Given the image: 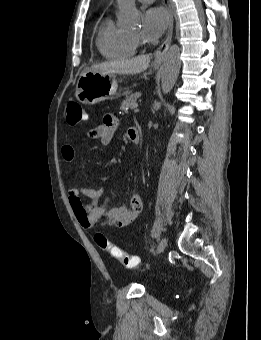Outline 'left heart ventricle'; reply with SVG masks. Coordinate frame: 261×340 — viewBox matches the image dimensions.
I'll use <instances>...</instances> for the list:
<instances>
[{
	"label": "left heart ventricle",
	"instance_id": "left-heart-ventricle-1",
	"mask_svg": "<svg viewBox=\"0 0 261 340\" xmlns=\"http://www.w3.org/2000/svg\"><path fill=\"white\" fill-rule=\"evenodd\" d=\"M133 36H138V32L132 33Z\"/></svg>",
	"mask_w": 261,
	"mask_h": 340
}]
</instances>
